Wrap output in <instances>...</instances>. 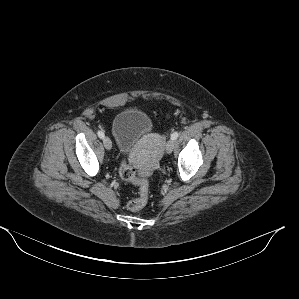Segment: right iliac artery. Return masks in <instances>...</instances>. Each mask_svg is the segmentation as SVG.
I'll return each instance as SVG.
<instances>
[{
  "instance_id": "82829eb1",
  "label": "right iliac artery",
  "mask_w": 299,
  "mask_h": 299,
  "mask_svg": "<svg viewBox=\"0 0 299 299\" xmlns=\"http://www.w3.org/2000/svg\"><path fill=\"white\" fill-rule=\"evenodd\" d=\"M97 134H98L99 138H101V139L104 138V136H105L102 131H98Z\"/></svg>"
}]
</instances>
